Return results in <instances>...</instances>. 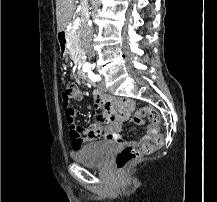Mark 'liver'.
Wrapping results in <instances>:
<instances>
[{
	"mask_svg": "<svg viewBox=\"0 0 217 202\" xmlns=\"http://www.w3.org/2000/svg\"><path fill=\"white\" fill-rule=\"evenodd\" d=\"M74 10H76L75 0H56L58 32H63L64 28L70 24Z\"/></svg>",
	"mask_w": 217,
	"mask_h": 202,
	"instance_id": "1",
	"label": "liver"
}]
</instances>
